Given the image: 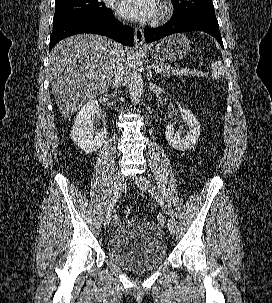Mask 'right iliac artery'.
Listing matches in <instances>:
<instances>
[{"mask_svg":"<svg viewBox=\"0 0 272 303\" xmlns=\"http://www.w3.org/2000/svg\"><path fill=\"white\" fill-rule=\"evenodd\" d=\"M119 197H120V193H117L111 198L110 204L107 206V210H105V216L110 215V211H112V207L119 199Z\"/></svg>","mask_w":272,"mask_h":303,"instance_id":"right-iliac-artery-1","label":"right iliac artery"}]
</instances>
